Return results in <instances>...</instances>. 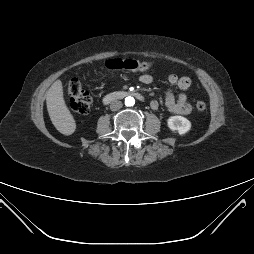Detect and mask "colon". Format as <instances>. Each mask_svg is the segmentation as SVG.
<instances>
[{
  "label": "colon",
  "instance_id": "colon-1",
  "mask_svg": "<svg viewBox=\"0 0 254 254\" xmlns=\"http://www.w3.org/2000/svg\"><path fill=\"white\" fill-rule=\"evenodd\" d=\"M152 66L153 62L151 61H141L136 59H110L106 61L104 69L107 71H146L152 68ZM67 90L70 97L71 110L80 116L87 115L91 108L92 98L83 88L81 82L77 78L71 79ZM195 107L200 112L206 110V104L203 101H197Z\"/></svg>",
  "mask_w": 254,
  "mask_h": 254
}]
</instances>
